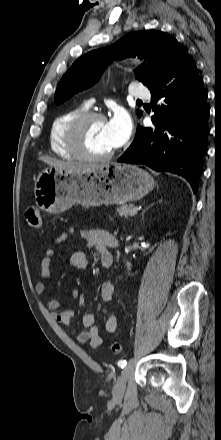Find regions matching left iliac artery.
Segmentation results:
<instances>
[{"mask_svg": "<svg viewBox=\"0 0 221 440\" xmlns=\"http://www.w3.org/2000/svg\"><path fill=\"white\" fill-rule=\"evenodd\" d=\"M127 365L126 360H119L118 362V366L121 368H124Z\"/></svg>", "mask_w": 221, "mask_h": 440, "instance_id": "44dca946", "label": "left iliac artery"}]
</instances>
